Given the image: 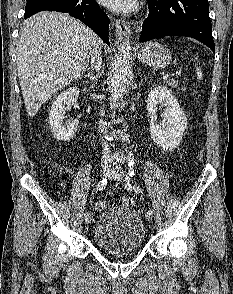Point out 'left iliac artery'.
<instances>
[{"label":"left iliac artery","instance_id":"44dca946","mask_svg":"<svg viewBox=\"0 0 233 294\" xmlns=\"http://www.w3.org/2000/svg\"><path fill=\"white\" fill-rule=\"evenodd\" d=\"M128 170H129V175L126 178H130L131 179V178H133L135 176L134 163H132V162L129 163ZM133 188H134V190L136 192H140L141 191L140 186L134 185ZM147 213L153 214V210L152 209H149Z\"/></svg>","mask_w":233,"mask_h":294}]
</instances>
